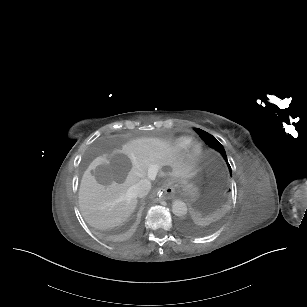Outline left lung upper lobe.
<instances>
[{
    "label": "left lung upper lobe",
    "mask_w": 307,
    "mask_h": 307,
    "mask_svg": "<svg viewBox=\"0 0 307 307\" xmlns=\"http://www.w3.org/2000/svg\"><path fill=\"white\" fill-rule=\"evenodd\" d=\"M195 131L200 135V137L205 141V143L207 145H209L210 147L216 149L217 151H219L222 156L224 157V159L226 160V163L229 167V170H230V175L232 176V171H231V167L228 163V160H227V156H226V152L223 148V146L218 142V140L212 136L211 134L199 129V128H195Z\"/></svg>",
    "instance_id": "1"
}]
</instances>
